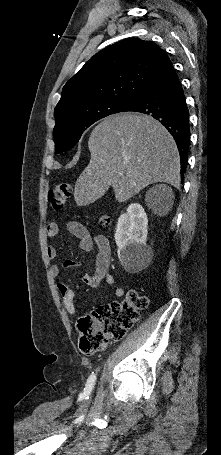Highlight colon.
Returning <instances> with one entry per match:
<instances>
[{
  "mask_svg": "<svg viewBox=\"0 0 221 455\" xmlns=\"http://www.w3.org/2000/svg\"><path fill=\"white\" fill-rule=\"evenodd\" d=\"M72 191L68 183H60L53 187L47 197L50 209L60 212ZM101 221L108 224L110 219L103 216ZM147 305L146 297L131 291L124 301L100 306L92 313L79 318L77 327L80 332V350L83 353H95L104 350L110 341L122 339L138 321L141 311Z\"/></svg>",
  "mask_w": 221,
  "mask_h": 455,
  "instance_id": "5ec220e1",
  "label": "colon"
}]
</instances>
